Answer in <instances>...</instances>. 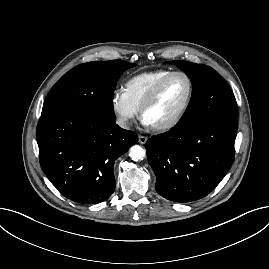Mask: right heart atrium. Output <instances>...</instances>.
Returning a JSON list of instances; mask_svg holds the SVG:
<instances>
[{
  "label": "right heart atrium",
  "instance_id": "obj_1",
  "mask_svg": "<svg viewBox=\"0 0 269 269\" xmlns=\"http://www.w3.org/2000/svg\"><path fill=\"white\" fill-rule=\"evenodd\" d=\"M111 109L118 125L124 129L130 127L138 110L130 103L123 90H115L111 96Z\"/></svg>",
  "mask_w": 269,
  "mask_h": 269
}]
</instances>
